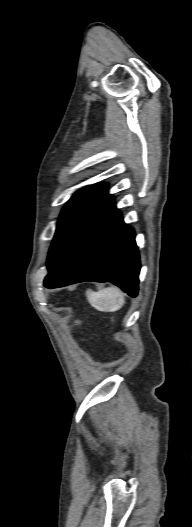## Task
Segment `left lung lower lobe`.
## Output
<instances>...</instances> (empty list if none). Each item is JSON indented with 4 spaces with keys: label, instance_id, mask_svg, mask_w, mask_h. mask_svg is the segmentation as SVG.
Masks as SVG:
<instances>
[{
    "label": "left lung lower lobe",
    "instance_id": "0a47b994",
    "mask_svg": "<svg viewBox=\"0 0 192 527\" xmlns=\"http://www.w3.org/2000/svg\"><path fill=\"white\" fill-rule=\"evenodd\" d=\"M139 271L135 233L108 196L75 233L50 268L44 285L57 288L83 281H110L135 297Z\"/></svg>",
    "mask_w": 192,
    "mask_h": 527
}]
</instances>
